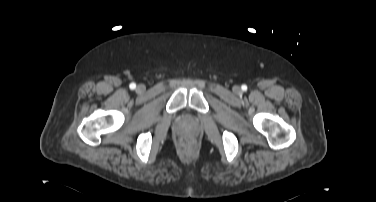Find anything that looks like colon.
Returning a JSON list of instances; mask_svg holds the SVG:
<instances>
[{"label":"colon","mask_w":376,"mask_h":202,"mask_svg":"<svg viewBox=\"0 0 376 202\" xmlns=\"http://www.w3.org/2000/svg\"><path fill=\"white\" fill-rule=\"evenodd\" d=\"M181 142L185 147H190L194 144V139L190 136H184L182 137Z\"/></svg>","instance_id":"obj_1"}]
</instances>
